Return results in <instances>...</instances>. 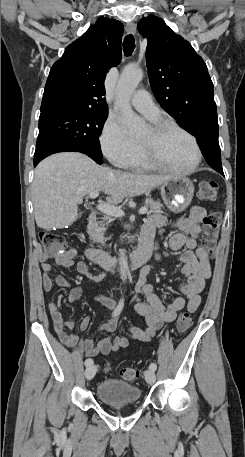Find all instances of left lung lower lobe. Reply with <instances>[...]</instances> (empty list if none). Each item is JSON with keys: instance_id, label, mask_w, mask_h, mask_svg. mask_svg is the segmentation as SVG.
I'll return each mask as SVG.
<instances>
[{"instance_id": "left-lung-lower-lobe-1", "label": "left lung lower lobe", "mask_w": 245, "mask_h": 457, "mask_svg": "<svg viewBox=\"0 0 245 457\" xmlns=\"http://www.w3.org/2000/svg\"><path fill=\"white\" fill-rule=\"evenodd\" d=\"M207 163L216 171L223 174L221 151L218 142V125H209L193 134Z\"/></svg>"}]
</instances>
